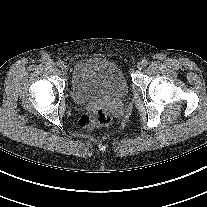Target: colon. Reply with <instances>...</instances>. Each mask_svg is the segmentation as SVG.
I'll return each instance as SVG.
<instances>
[{
	"instance_id": "obj_1",
	"label": "colon",
	"mask_w": 207,
	"mask_h": 207,
	"mask_svg": "<svg viewBox=\"0 0 207 207\" xmlns=\"http://www.w3.org/2000/svg\"><path fill=\"white\" fill-rule=\"evenodd\" d=\"M112 114L108 111L99 109L89 113L82 114L78 119L80 127H104L111 123Z\"/></svg>"
}]
</instances>
